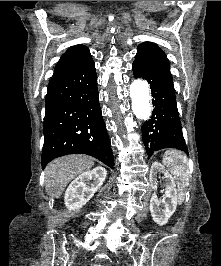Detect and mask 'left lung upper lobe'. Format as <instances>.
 <instances>
[{
	"label": "left lung upper lobe",
	"mask_w": 221,
	"mask_h": 266,
	"mask_svg": "<svg viewBox=\"0 0 221 266\" xmlns=\"http://www.w3.org/2000/svg\"><path fill=\"white\" fill-rule=\"evenodd\" d=\"M135 61L147 68L170 72V64L165 53L155 43H141L137 48Z\"/></svg>",
	"instance_id": "5c2ea615"
}]
</instances>
